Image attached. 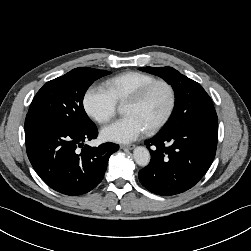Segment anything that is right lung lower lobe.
I'll list each match as a JSON object with an SVG mask.
<instances>
[{
  "label": "right lung lower lobe",
  "instance_id": "1",
  "mask_svg": "<svg viewBox=\"0 0 251 251\" xmlns=\"http://www.w3.org/2000/svg\"><path fill=\"white\" fill-rule=\"evenodd\" d=\"M97 135L96 126L78 131L37 116L25 120L26 150L34 170L48 186L66 195H81L96 187L109 157L119 149L110 142L83 146Z\"/></svg>",
  "mask_w": 251,
  "mask_h": 251
}]
</instances>
